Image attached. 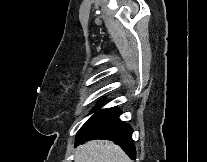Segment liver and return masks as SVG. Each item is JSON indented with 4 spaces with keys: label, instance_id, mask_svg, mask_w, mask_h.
Segmentation results:
<instances>
[{
    "label": "liver",
    "instance_id": "1",
    "mask_svg": "<svg viewBox=\"0 0 207 162\" xmlns=\"http://www.w3.org/2000/svg\"><path fill=\"white\" fill-rule=\"evenodd\" d=\"M75 162H132L115 143L107 140L88 141L77 147Z\"/></svg>",
    "mask_w": 207,
    "mask_h": 162
}]
</instances>
